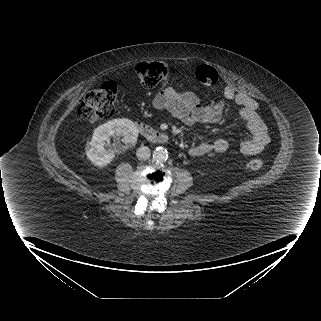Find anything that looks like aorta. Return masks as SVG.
<instances>
[{
    "mask_svg": "<svg viewBox=\"0 0 321 321\" xmlns=\"http://www.w3.org/2000/svg\"><path fill=\"white\" fill-rule=\"evenodd\" d=\"M153 158L156 161H166L168 158V151L163 147H157L153 152Z\"/></svg>",
    "mask_w": 321,
    "mask_h": 321,
    "instance_id": "obj_1",
    "label": "aorta"
}]
</instances>
